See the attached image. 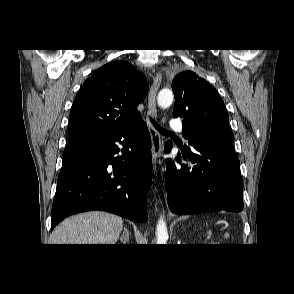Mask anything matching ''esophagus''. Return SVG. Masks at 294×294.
<instances>
[{"instance_id": "obj_1", "label": "esophagus", "mask_w": 294, "mask_h": 294, "mask_svg": "<svg viewBox=\"0 0 294 294\" xmlns=\"http://www.w3.org/2000/svg\"><path fill=\"white\" fill-rule=\"evenodd\" d=\"M162 81V76L160 71H157L155 77L153 79V83L150 86L149 94H148V112H147V125L149 128L151 142H152V162L154 169L156 168V163L161 157L162 154V141L159 132L157 129L152 125L151 121L149 120L150 117H157V109H156V96L158 89L160 87Z\"/></svg>"}]
</instances>
